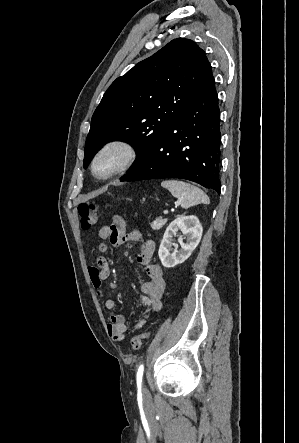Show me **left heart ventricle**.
<instances>
[{"mask_svg":"<svg viewBox=\"0 0 299 443\" xmlns=\"http://www.w3.org/2000/svg\"><path fill=\"white\" fill-rule=\"evenodd\" d=\"M111 158H108L104 162V168H106L110 164Z\"/></svg>","mask_w":299,"mask_h":443,"instance_id":"obj_1","label":"left heart ventricle"}]
</instances>
